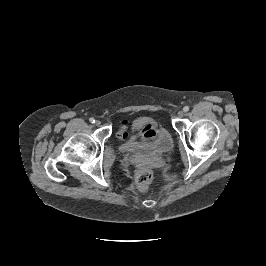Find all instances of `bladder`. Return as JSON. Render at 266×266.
Masks as SVG:
<instances>
[{"label": "bladder", "mask_w": 266, "mask_h": 266, "mask_svg": "<svg viewBox=\"0 0 266 266\" xmlns=\"http://www.w3.org/2000/svg\"><path fill=\"white\" fill-rule=\"evenodd\" d=\"M149 124L145 119H136L131 126V135L124 143V151L131 155L141 154H164L173 148V138L171 134L164 128L155 130V134L151 139L140 142L135 138V133L139 129Z\"/></svg>", "instance_id": "obj_1"}]
</instances>
